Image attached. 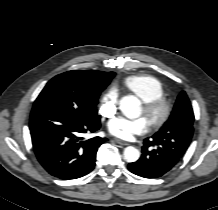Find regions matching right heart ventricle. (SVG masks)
Masks as SVG:
<instances>
[{"label":"right heart ventricle","instance_id":"right-heart-ventricle-1","mask_svg":"<svg viewBox=\"0 0 218 210\" xmlns=\"http://www.w3.org/2000/svg\"><path fill=\"white\" fill-rule=\"evenodd\" d=\"M122 85L142 101L164 95L162 83L156 77L147 74L129 76L123 80Z\"/></svg>","mask_w":218,"mask_h":210}]
</instances>
